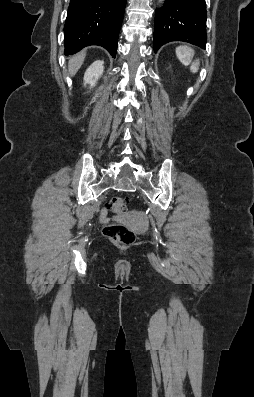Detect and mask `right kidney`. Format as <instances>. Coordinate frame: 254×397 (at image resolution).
Returning <instances> with one entry per match:
<instances>
[{
    "mask_svg": "<svg viewBox=\"0 0 254 397\" xmlns=\"http://www.w3.org/2000/svg\"><path fill=\"white\" fill-rule=\"evenodd\" d=\"M104 71V62L97 60L93 62L84 74V85L90 84V87L95 86L97 80Z\"/></svg>",
    "mask_w": 254,
    "mask_h": 397,
    "instance_id": "1",
    "label": "right kidney"
}]
</instances>
